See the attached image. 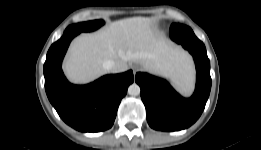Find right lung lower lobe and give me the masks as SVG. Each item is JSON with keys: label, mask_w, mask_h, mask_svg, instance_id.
I'll return each mask as SVG.
<instances>
[{"label": "right lung lower lobe", "mask_w": 261, "mask_h": 150, "mask_svg": "<svg viewBox=\"0 0 261 150\" xmlns=\"http://www.w3.org/2000/svg\"><path fill=\"white\" fill-rule=\"evenodd\" d=\"M80 32L67 30L49 49L44 63L45 90L59 116L81 132H100L112 127L121 99L133 82L132 71L106 75L84 86L70 84L61 69L71 40Z\"/></svg>", "instance_id": "1"}]
</instances>
